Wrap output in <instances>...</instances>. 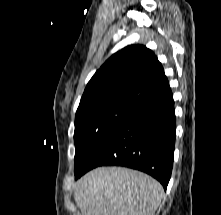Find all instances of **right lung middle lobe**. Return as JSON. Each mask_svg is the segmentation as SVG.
Returning a JSON list of instances; mask_svg holds the SVG:
<instances>
[{"label": "right lung middle lobe", "mask_w": 221, "mask_h": 215, "mask_svg": "<svg viewBox=\"0 0 221 215\" xmlns=\"http://www.w3.org/2000/svg\"><path fill=\"white\" fill-rule=\"evenodd\" d=\"M134 108L120 101H97L79 106L75 116V175L83 171L95 151Z\"/></svg>", "instance_id": "1"}]
</instances>
